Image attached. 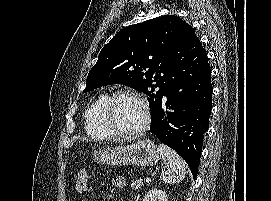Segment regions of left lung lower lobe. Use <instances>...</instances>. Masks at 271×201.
Segmentation results:
<instances>
[{"mask_svg": "<svg viewBox=\"0 0 271 201\" xmlns=\"http://www.w3.org/2000/svg\"><path fill=\"white\" fill-rule=\"evenodd\" d=\"M211 109L207 53L194 30L183 28L173 49L172 68L150 131L188 163L194 178Z\"/></svg>", "mask_w": 271, "mask_h": 201, "instance_id": "left-lung-lower-lobe-1", "label": "left lung lower lobe"}]
</instances>
